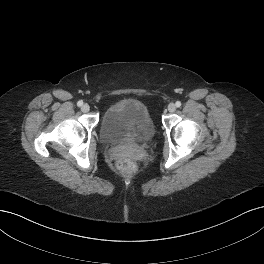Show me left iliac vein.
Here are the masks:
<instances>
[{"instance_id": "left-iliac-vein-1", "label": "left iliac vein", "mask_w": 264, "mask_h": 264, "mask_svg": "<svg viewBox=\"0 0 264 264\" xmlns=\"http://www.w3.org/2000/svg\"><path fill=\"white\" fill-rule=\"evenodd\" d=\"M168 111L171 112V113H173V112L176 111V106H175L174 103H170V104L168 105Z\"/></svg>"}]
</instances>
